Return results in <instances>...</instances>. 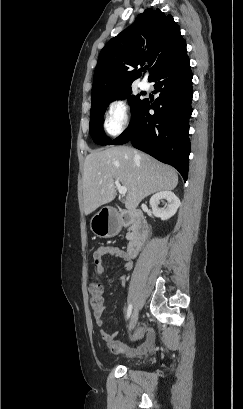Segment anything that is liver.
Listing matches in <instances>:
<instances>
[{"label":"liver","mask_w":243,"mask_h":409,"mask_svg":"<svg viewBox=\"0 0 243 409\" xmlns=\"http://www.w3.org/2000/svg\"><path fill=\"white\" fill-rule=\"evenodd\" d=\"M115 180L127 188L125 207L134 211L147 196L173 190L176 170L146 153L128 146L91 152L83 170V202L86 215L116 197Z\"/></svg>","instance_id":"6515ba94"}]
</instances>
